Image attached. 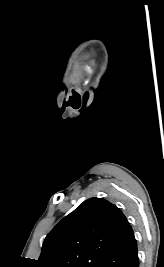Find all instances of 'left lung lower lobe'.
<instances>
[{"mask_svg": "<svg viewBox=\"0 0 164 267\" xmlns=\"http://www.w3.org/2000/svg\"><path fill=\"white\" fill-rule=\"evenodd\" d=\"M99 267H139L136 239L129 224L108 251Z\"/></svg>", "mask_w": 164, "mask_h": 267, "instance_id": "1", "label": "left lung lower lobe"}]
</instances>
